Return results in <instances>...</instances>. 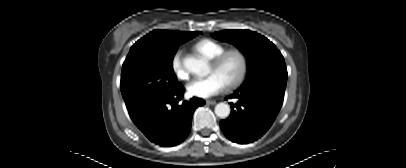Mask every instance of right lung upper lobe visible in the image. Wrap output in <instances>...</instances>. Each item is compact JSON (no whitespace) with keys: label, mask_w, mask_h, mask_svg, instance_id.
<instances>
[{"label":"right lung upper lobe","mask_w":406,"mask_h":168,"mask_svg":"<svg viewBox=\"0 0 406 168\" xmlns=\"http://www.w3.org/2000/svg\"><path fill=\"white\" fill-rule=\"evenodd\" d=\"M199 32H180V31H165V30H154L141 38L140 40L157 41L162 43H183L195 36Z\"/></svg>","instance_id":"1"}]
</instances>
